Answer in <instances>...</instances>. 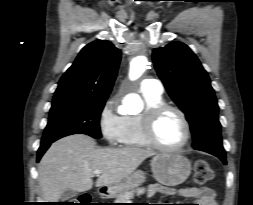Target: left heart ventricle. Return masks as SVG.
I'll use <instances>...</instances> for the list:
<instances>
[{
    "label": "left heart ventricle",
    "mask_w": 253,
    "mask_h": 205,
    "mask_svg": "<svg viewBox=\"0 0 253 205\" xmlns=\"http://www.w3.org/2000/svg\"><path fill=\"white\" fill-rule=\"evenodd\" d=\"M156 135L159 142L166 146L182 143L186 130L179 115L172 111L165 113L157 123Z\"/></svg>",
    "instance_id": "obj_1"
}]
</instances>
